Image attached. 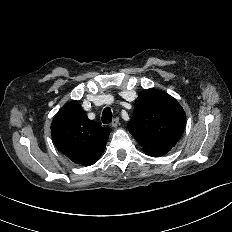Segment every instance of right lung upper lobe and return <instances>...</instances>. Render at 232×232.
I'll return each mask as SVG.
<instances>
[{
  "label": "right lung upper lobe",
  "instance_id": "1",
  "mask_svg": "<svg viewBox=\"0 0 232 232\" xmlns=\"http://www.w3.org/2000/svg\"><path fill=\"white\" fill-rule=\"evenodd\" d=\"M111 128L89 120L73 100L65 104L51 124L52 139L57 148L74 163L90 166L105 150Z\"/></svg>",
  "mask_w": 232,
  "mask_h": 232
}]
</instances>
